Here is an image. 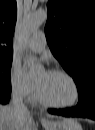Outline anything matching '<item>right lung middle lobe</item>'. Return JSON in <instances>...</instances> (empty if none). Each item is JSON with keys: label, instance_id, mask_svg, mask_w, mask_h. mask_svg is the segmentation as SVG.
<instances>
[{"label": "right lung middle lobe", "instance_id": "dd1d6c3e", "mask_svg": "<svg viewBox=\"0 0 95 130\" xmlns=\"http://www.w3.org/2000/svg\"><path fill=\"white\" fill-rule=\"evenodd\" d=\"M12 58H0V89L10 88Z\"/></svg>", "mask_w": 95, "mask_h": 130}]
</instances>
